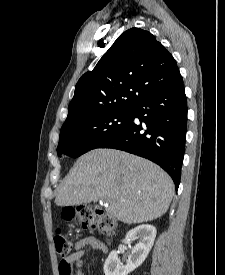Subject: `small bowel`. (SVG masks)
Instances as JSON below:
<instances>
[{
	"instance_id": "1",
	"label": "small bowel",
	"mask_w": 225,
	"mask_h": 275,
	"mask_svg": "<svg viewBox=\"0 0 225 275\" xmlns=\"http://www.w3.org/2000/svg\"><path fill=\"white\" fill-rule=\"evenodd\" d=\"M90 249L100 253L107 251L106 245L101 240L93 236H86L75 243V251L69 255L68 260L71 262L79 261Z\"/></svg>"
}]
</instances>
